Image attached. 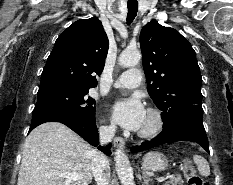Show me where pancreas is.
<instances>
[{
    "label": "pancreas",
    "mask_w": 233,
    "mask_h": 185,
    "mask_svg": "<svg viewBox=\"0 0 233 185\" xmlns=\"http://www.w3.org/2000/svg\"><path fill=\"white\" fill-rule=\"evenodd\" d=\"M184 183L180 175L170 178L164 185H182Z\"/></svg>",
    "instance_id": "obj_1"
}]
</instances>
